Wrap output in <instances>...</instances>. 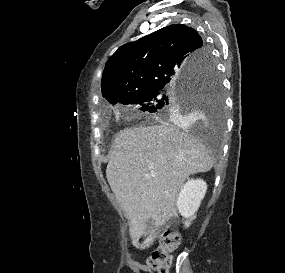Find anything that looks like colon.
<instances>
[{"label":"colon","instance_id":"5ec220e1","mask_svg":"<svg viewBox=\"0 0 285 273\" xmlns=\"http://www.w3.org/2000/svg\"><path fill=\"white\" fill-rule=\"evenodd\" d=\"M180 237L169 229L162 234L158 248L148 257L147 264L155 273H168L172 254L178 248Z\"/></svg>","mask_w":285,"mask_h":273}]
</instances>
